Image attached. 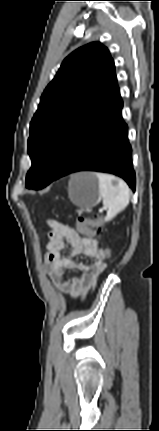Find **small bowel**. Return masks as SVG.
Returning <instances> with one entry per match:
<instances>
[{
  "label": "small bowel",
  "mask_w": 159,
  "mask_h": 431,
  "mask_svg": "<svg viewBox=\"0 0 159 431\" xmlns=\"http://www.w3.org/2000/svg\"><path fill=\"white\" fill-rule=\"evenodd\" d=\"M49 242L46 246V264L49 275L56 289L68 293L71 299L86 296L94 287L97 278L107 266L104 256H100L97 241L93 238L82 237L73 228L60 222L49 220ZM72 247L67 257H62L61 252L66 244ZM84 255L96 258L95 263L88 266L74 260L75 256ZM78 270L79 276L65 277L67 270Z\"/></svg>",
  "instance_id": "small-bowel-1"
}]
</instances>
